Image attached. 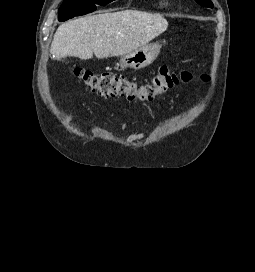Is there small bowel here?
Here are the masks:
<instances>
[{
    "label": "small bowel",
    "mask_w": 255,
    "mask_h": 272,
    "mask_svg": "<svg viewBox=\"0 0 255 272\" xmlns=\"http://www.w3.org/2000/svg\"><path fill=\"white\" fill-rule=\"evenodd\" d=\"M127 128H128V124L123 123L122 126H121V131L124 132V131L127 130ZM145 137H146V135L143 134V133L132 134V135L128 136L127 141L129 143H133V142H136V141H140V140L144 139Z\"/></svg>",
    "instance_id": "c3829d8e"
}]
</instances>
